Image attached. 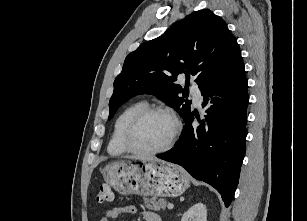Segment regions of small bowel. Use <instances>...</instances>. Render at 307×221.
I'll return each instance as SVG.
<instances>
[{
  "label": "small bowel",
  "mask_w": 307,
  "mask_h": 221,
  "mask_svg": "<svg viewBox=\"0 0 307 221\" xmlns=\"http://www.w3.org/2000/svg\"><path fill=\"white\" fill-rule=\"evenodd\" d=\"M137 208L134 205H124L105 210L99 221H109L110 219L117 218L121 214L133 215L136 214ZM143 217L145 221H162L161 217L152 211H144Z\"/></svg>",
  "instance_id": "obj_1"
}]
</instances>
